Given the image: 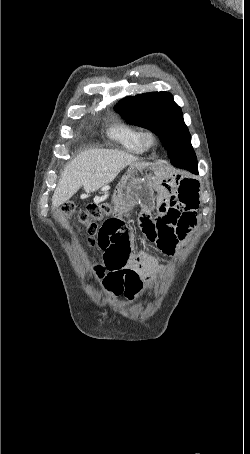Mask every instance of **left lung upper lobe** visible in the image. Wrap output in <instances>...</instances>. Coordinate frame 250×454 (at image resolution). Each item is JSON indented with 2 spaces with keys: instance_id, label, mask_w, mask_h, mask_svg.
I'll list each match as a JSON object with an SVG mask.
<instances>
[{
  "instance_id": "left-lung-upper-lobe-1",
  "label": "left lung upper lobe",
  "mask_w": 250,
  "mask_h": 454,
  "mask_svg": "<svg viewBox=\"0 0 250 454\" xmlns=\"http://www.w3.org/2000/svg\"><path fill=\"white\" fill-rule=\"evenodd\" d=\"M129 124L154 132L168 151V156L192 153L191 136L181 108L168 92H151L126 97L114 107Z\"/></svg>"
}]
</instances>
